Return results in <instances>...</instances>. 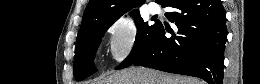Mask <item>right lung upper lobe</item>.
I'll return each instance as SVG.
<instances>
[{"label": "right lung upper lobe", "instance_id": "obj_1", "mask_svg": "<svg viewBox=\"0 0 260 84\" xmlns=\"http://www.w3.org/2000/svg\"><path fill=\"white\" fill-rule=\"evenodd\" d=\"M167 0H160L163 5ZM144 0H90L83 14L81 27L77 38L95 22L117 20L125 12L142 4ZM134 10L133 12H136Z\"/></svg>", "mask_w": 260, "mask_h": 84}]
</instances>
